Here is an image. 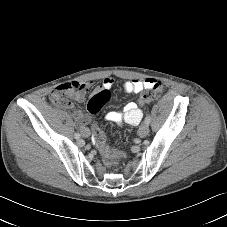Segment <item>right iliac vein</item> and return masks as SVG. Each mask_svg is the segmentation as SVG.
I'll return each instance as SVG.
<instances>
[{
  "mask_svg": "<svg viewBox=\"0 0 227 227\" xmlns=\"http://www.w3.org/2000/svg\"><path fill=\"white\" fill-rule=\"evenodd\" d=\"M89 135H90V132H89L88 130H86V131L84 132V135H83V136L88 137Z\"/></svg>",
  "mask_w": 227,
  "mask_h": 227,
  "instance_id": "63e3f726",
  "label": "right iliac vein"
}]
</instances>
